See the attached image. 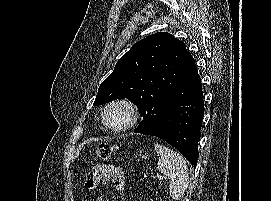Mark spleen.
Instances as JSON below:
<instances>
[{
    "instance_id": "1",
    "label": "spleen",
    "mask_w": 271,
    "mask_h": 201,
    "mask_svg": "<svg viewBox=\"0 0 271 201\" xmlns=\"http://www.w3.org/2000/svg\"><path fill=\"white\" fill-rule=\"evenodd\" d=\"M155 151L159 155L157 169L169 179L170 197L178 201L184 197L189 184V174L186 160L178 152L155 144Z\"/></svg>"
}]
</instances>
